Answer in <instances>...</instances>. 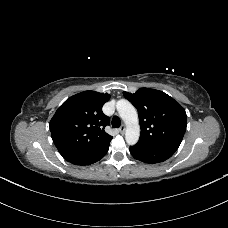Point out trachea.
<instances>
[{
  "label": "trachea",
  "mask_w": 228,
  "mask_h": 228,
  "mask_svg": "<svg viewBox=\"0 0 228 228\" xmlns=\"http://www.w3.org/2000/svg\"><path fill=\"white\" fill-rule=\"evenodd\" d=\"M120 125H121V120H120V118H119L118 116H114V117L112 118V126H113L114 128H118V127H120Z\"/></svg>",
  "instance_id": "obj_1"
}]
</instances>
